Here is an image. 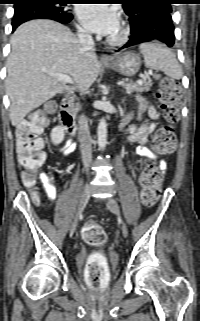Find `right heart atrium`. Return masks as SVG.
<instances>
[{"mask_svg": "<svg viewBox=\"0 0 200 321\" xmlns=\"http://www.w3.org/2000/svg\"><path fill=\"white\" fill-rule=\"evenodd\" d=\"M78 31H79L81 34H85V33H86L85 29L82 28V27H79V28H78Z\"/></svg>", "mask_w": 200, "mask_h": 321, "instance_id": "obj_1", "label": "right heart atrium"}]
</instances>
